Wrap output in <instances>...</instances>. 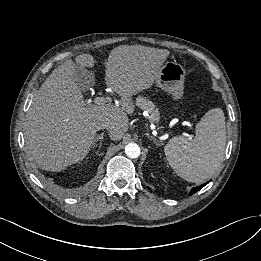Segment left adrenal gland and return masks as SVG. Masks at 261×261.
Returning a JSON list of instances; mask_svg holds the SVG:
<instances>
[{"label":"left adrenal gland","instance_id":"a2214340","mask_svg":"<svg viewBox=\"0 0 261 261\" xmlns=\"http://www.w3.org/2000/svg\"><path fill=\"white\" fill-rule=\"evenodd\" d=\"M156 146H161L160 141H158L156 138H154L153 136H148Z\"/></svg>","mask_w":261,"mask_h":261}]
</instances>
